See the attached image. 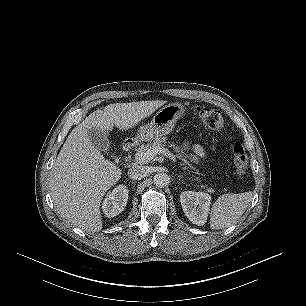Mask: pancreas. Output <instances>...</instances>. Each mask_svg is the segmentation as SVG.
<instances>
[{
    "mask_svg": "<svg viewBox=\"0 0 306 306\" xmlns=\"http://www.w3.org/2000/svg\"><path fill=\"white\" fill-rule=\"evenodd\" d=\"M165 143H166V137L156 138L153 142H150L146 145L145 144L141 145L137 150L136 156L138 154L145 153L150 149L162 147L164 146ZM171 147H173L176 153L180 152V147L176 146L175 144L172 143ZM177 157L182 159L183 162L181 163V165L188 164V162L183 158L184 157L183 152L181 154H177ZM184 169H186V167H184ZM196 180H199V178L196 177ZM201 187L206 188L207 186H201ZM206 191L209 193H214L213 188H208Z\"/></svg>",
    "mask_w": 306,
    "mask_h": 306,
    "instance_id": "cf45deb5",
    "label": "pancreas"
}]
</instances>
